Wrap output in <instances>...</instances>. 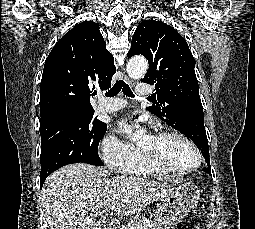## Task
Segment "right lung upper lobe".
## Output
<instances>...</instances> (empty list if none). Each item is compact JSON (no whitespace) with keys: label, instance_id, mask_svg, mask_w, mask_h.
<instances>
[{"label":"right lung upper lobe","instance_id":"1","mask_svg":"<svg viewBox=\"0 0 255 229\" xmlns=\"http://www.w3.org/2000/svg\"><path fill=\"white\" fill-rule=\"evenodd\" d=\"M116 73L112 54L93 21L79 23L54 46L44 65L40 85L41 119L56 114L94 113L95 88L108 89Z\"/></svg>","mask_w":255,"mask_h":229}]
</instances>
